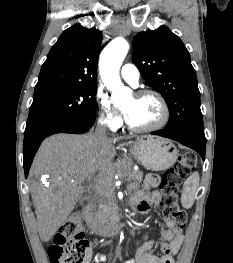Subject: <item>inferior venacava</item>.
I'll use <instances>...</instances> for the list:
<instances>
[{
    "label": "inferior vena cava",
    "instance_id": "1",
    "mask_svg": "<svg viewBox=\"0 0 233 263\" xmlns=\"http://www.w3.org/2000/svg\"><path fill=\"white\" fill-rule=\"evenodd\" d=\"M95 138L99 143H104L107 140L106 126L103 124L102 120H99L94 133ZM102 184L101 180H98V186Z\"/></svg>",
    "mask_w": 233,
    "mask_h": 263
}]
</instances>
